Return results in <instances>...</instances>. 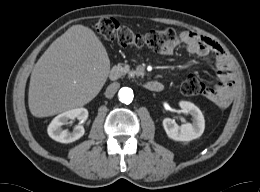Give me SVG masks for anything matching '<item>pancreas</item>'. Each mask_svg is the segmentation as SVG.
I'll return each instance as SVG.
<instances>
[{
    "instance_id": "1",
    "label": "pancreas",
    "mask_w": 260,
    "mask_h": 192,
    "mask_svg": "<svg viewBox=\"0 0 260 192\" xmlns=\"http://www.w3.org/2000/svg\"><path fill=\"white\" fill-rule=\"evenodd\" d=\"M118 67L120 68V71H121L122 75L128 74L130 77L141 75V73H139L136 70H130V66L129 65L119 64Z\"/></svg>"
}]
</instances>
